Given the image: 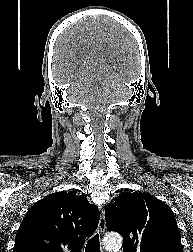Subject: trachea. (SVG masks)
I'll use <instances>...</instances> for the list:
<instances>
[{"label":"trachea","mask_w":193,"mask_h":252,"mask_svg":"<svg viewBox=\"0 0 193 252\" xmlns=\"http://www.w3.org/2000/svg\"><path fill=\"white\" fill-rule=\"evenodd\" d=\"M85 252H100L99 234L94 235L86 244Z\"/></svg>","instance_id":"trachea-1"}]
</instances>
